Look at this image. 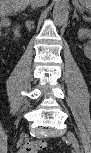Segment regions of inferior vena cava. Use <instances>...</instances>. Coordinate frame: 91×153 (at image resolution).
Masks as SVG:
<instances>
[{
	"label": "inferior vena cava",
	"mask_w": 91,
	"mask_h": 153,
	"mask_svg": "<svg viewBox=\"0 0 91 153\" xmlns=\"http://www.w3.org/2000/svg\"><path fill=\"white\" fill-rule=\"evenodd\" d=\"M47 0H31V5L35 8L46 5Z\"/></svg>",
	"instance_id": "1"
}]
</instances>
